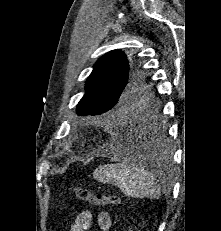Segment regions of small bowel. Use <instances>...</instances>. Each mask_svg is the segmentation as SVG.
Masks as SVG:
<instances>
[{"mask_svg": "<svg viewBox=\"0 0 221 231\" xmlns=\"http://www.w3.org/2000/svg\"><path fill=\"white\" fill-rule=\"evenodd\" d=\"M92 221L93 213L89 210H84L77 215L70 231H87ZM96 223L100 231H108L112 225L111 216L107 212H99L96 215Z\"/></svg>", "mask_w": 221, "mask_h": 231, "instance_id": "c3829d8e", "label": "small bowel"}]
</instances>
